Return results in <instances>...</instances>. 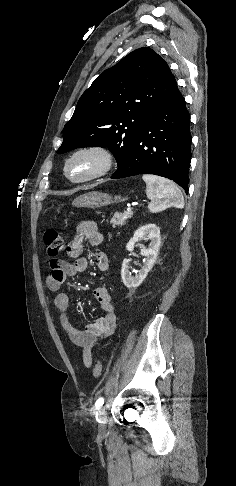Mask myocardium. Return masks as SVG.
<instances>
[{
    "label": "myocardium",
    "mask_w": 236,
    "mask_h": 486,
    "mask_svg": "<svg viewBox=\"0 0 236 486\" xmlns=\"http://www.w3.org/2000/svg\"><path fill=\"white\" fill-rule=\"evenodd\" d=\"M81 155H92L98 160L97 168L90 174L81 178H72L69 175L70 163ZM116 158L114 153L106 146L103 145H88L83 146L73 151L65 160L63 172L65 177L72 183L83 184L88 183L107 175L114 167Z\"/></svg>",
    "instance_id": "f54148a6"
}]
</instances>
